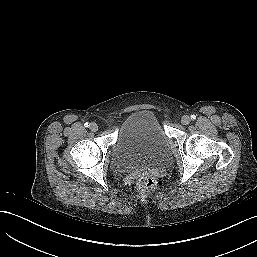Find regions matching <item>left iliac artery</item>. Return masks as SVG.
I'll return each instance as SVG.
<instances>
[{"instance_id": "left-iliac-artery-1", "label": "left iliac artery", "mask_w": 257, "mask_h": 257, "mask_svg": "<svg viewBox=\"0 0 257 257\" xmlns=\"http://www.w3.org/2000/svg\"><path fill=\"white\" fill-rule=\"evenodd\" d=\"M191 119H192V120H195V119H196V116H195V115H191Z\"/></svg>"}]
</instances>
